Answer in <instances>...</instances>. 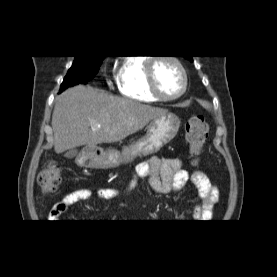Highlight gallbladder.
Returning <instances> with one entry per match:
<instances>
[{"mask_svg":"<svg viewBox=\"0 0 277 277\" xmlns=\"http://www.w3.org/2000/svg\"><path fill=\"white\" fill-rule=\"evenodd\" d=\"M78 154V150L77 149H69L64 156L67 158H74L76 155Z\"/></svg>","mask_w":277,"mask_h":277,"instance_id":"obj_1","label":"gallbladder"}]
</instances>
